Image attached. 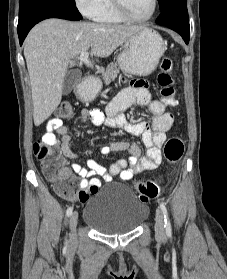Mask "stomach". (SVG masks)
Listing matches in <instances>:
<instances>
[{
	"label": "stomach",
	"instance_id": "obj_1",
	"mask_svg": "<svg viewBox=\"0 0 227 279\" xmlns=\"http://www.w3.org/2000/svg\"><path fill=\"white\" fill-rule=\"evenodd\" d=\"M165 50L162 37L156 31L143 27L123 43L117 62L126 73L146 76L156 69ZM100 90L101 84L91 80L81 86L79 96L85 101H92Z\"/></svg>",
	"mask_w": 227,
	"mask_h": 279
}]
</instances>
